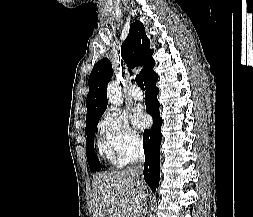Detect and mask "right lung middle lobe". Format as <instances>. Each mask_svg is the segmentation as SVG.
Returning <instances> with one entry per match:
<instances>
[{"instance_id": "1", "label": "right lung middle lobe", "mask_w": 253, "mask_h": 217, "mask_svg": "<svg viewBox=\"0 0 253 217\" xmlns=\"http://www.w3.org/2000/svg\"><path fill=\"white\" fill-rule=\"evenodd\" d=\"M99 119L100 117L86 122V128H85V133L87 135V139H86L87 161L92 171L101 170V164L94 150V132L96 130Z\"/></svg>"}]
</instances>
